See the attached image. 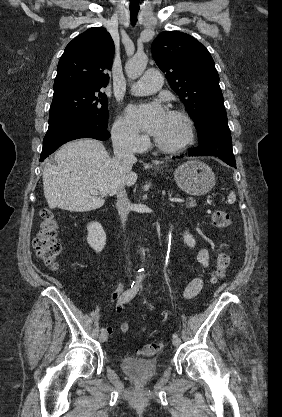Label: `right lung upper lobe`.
<instances>
[{
    "label": "right lung upper lobe",
    "instance_id": "right-lung-upper-lobe-1",
    "mask_svg": "<svg viewBox=\"0 0 282 417\" xmlns=\"http://www.w3.org/2000/svg\"><path fill=\"white\" fill-rule=\"evenodd\" d=\"M113 57L114 42L106 29H88L66 46L58 63L54 92L105 87Z\"/></svg>",
    "mask_w": 282,
    "mask_h": 417
}]
</instances>
